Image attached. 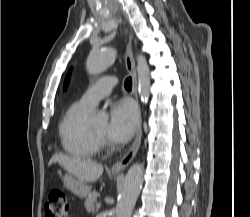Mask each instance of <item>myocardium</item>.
Returning <instances> with one entry per match:
<instances>
[{
	"label": "myocardium",
	"mask_w": 250,
	"mask_h": 217,
	"mask_svg": "<svg viewBox=\"0 0 250 217\" xmlns=\"http://www.w3.org/2000/svg\"><path fill=\"white\" fill-rule=\"evenodd\" d=\"M89 130H90V133L92 134V136L94 137V139L96 140V142L99 144V146L103 145L106 142V137L97 133L93 129V127L90 123H89Z\"/></svg>",
	"instance_id": "myocardium-1"
}]
</instances>
